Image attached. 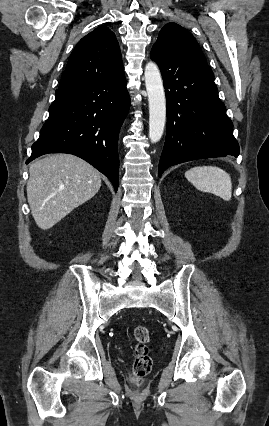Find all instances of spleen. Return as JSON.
Here are the masks:
<instances>
[{
  "mask_svg": "<svg viewBox=\"0 0 269 426\" xmlns=\"http://www.w3.org/2000/svg\"><path fill=\"white\" fill-rule=\"evenodd\" d=\"M185 177L198 190L212 193L225 201L232 197V182L230 175L215 166H199L188 170Z\"/></svg>",
  "mask_w": 269,
  "mask_h": 426,
  "instance_id": "obj_1",
  "label": "spleen"
}]
</instances>
